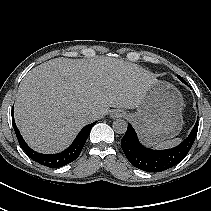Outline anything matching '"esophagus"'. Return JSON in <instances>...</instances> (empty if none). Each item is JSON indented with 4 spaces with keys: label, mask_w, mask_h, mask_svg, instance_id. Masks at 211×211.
I'll return each mask as SVG.
<instances>
[{
    "label": "esophagus",
    "mask_w": 211,
    "mask_h": 211,
    "mask_svg": "<svg viewBox=\"0 0 211 211\" xmlns=\"http://www.w3.org/2000/svg\"><path fill=\"white\" fill-rule=\"evenodd\" d=\"M123 116H124V113L121 110H113L110 113V117L112 119L120 118V117H123Z\"/></svg>",
    "instance_id": "1"
}]
</instances>
